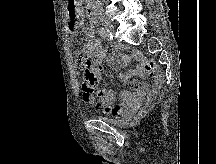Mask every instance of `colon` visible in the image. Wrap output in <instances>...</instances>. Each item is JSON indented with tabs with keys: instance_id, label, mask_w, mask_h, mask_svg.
Masks as SVG:
<instances>
[{
	"instance_id": "1",
	"label": "colon",
	"mask_w": 216,
	"mask_h": 164,
	"mask_svg": "<svg viewBox=\"0 0 216 164\" xmlns=\"http://www.w3.org/2000/svg\"><path fill=\"white\" fill-rule=\"evenodd\" d=\"M78 66L84 70L83 73V86L88 89H92L95 87L99 80V72L98 70L89 62L84 60L83 58H78L77 60ZM154 68V64L152 61H148L146 63V69L151 72Z\"/></svg>"
}]
</instances>
